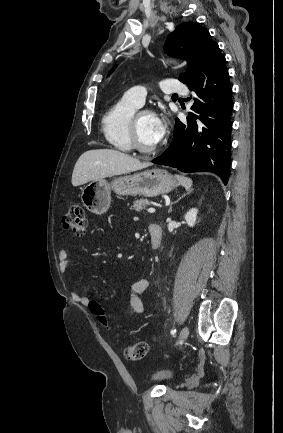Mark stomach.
I'll return each mask as SVG.
<instances>
[{
    "instance_id": "0dacf381",
    "label": "stomach",
    "mask_w": 283,
    "mask_h": 433,
    "mask_svg": "<svg viewBox=\"0 0 283 433\" xmlns=\"http://www.w3.org/2000/svg\"><path fill=\"white\" fill-rule=\"evenodd\" d=\"M177 186V180L163 168H152L144 172H134L125 176H114L111 182L105 178L91 180L82 190L81 200L91 212H106L111 202V190L117 194H144L157 196L161 192H170Z\"/></svg>"
}]
</instances>
